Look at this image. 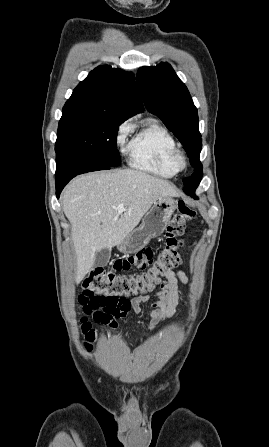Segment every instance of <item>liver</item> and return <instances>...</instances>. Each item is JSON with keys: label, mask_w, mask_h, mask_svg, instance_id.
<instances>
[{"label": "liver", "mask_w": 269, "mask_h": 447, "mask_svg": "<svg viewBox=\"0 0 269 447\" xmlns=\"http://www.w3.org/2000/svg\"><path fill=\"white\" fill-rule=\"evenodd\" d=\"M178 198L175 186L138 170L93 172L74 178L63 192L71 224L76 283L91 271L97 251L119 245L159 198ZM123 204L125 212H118Z\"/></svg>", "instance_id": "obj_1"}]
</instances>
